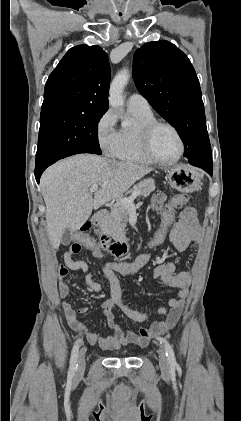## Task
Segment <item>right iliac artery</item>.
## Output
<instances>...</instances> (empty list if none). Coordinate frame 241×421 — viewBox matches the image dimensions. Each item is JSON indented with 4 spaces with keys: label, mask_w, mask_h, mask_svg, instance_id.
Wrapping results in <instances>:
<instances>
[{
    "label": "right iliac artery",
    "mask_w": 241,
    "mask_h": 421,
    "mask_svg": "<svg viewBox=\"0 0 241 421\" xmlns=\"http://www.w3.org/2000/svg\"><path fill=\"white\" fill-rule=\"evenodd\" d=\"M79 346H80V339H78L75 342L74 347L71 352L70 367L68 371L69 378H72L75 375V372L78 367L77 359H78V354H79Z\"/></svg>",
    "instance_id": "obj_1"
}]
</instances>
